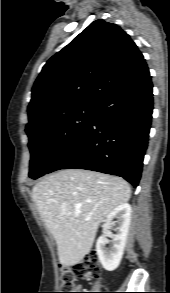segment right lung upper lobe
Wrapping results in <instances>:
<instances>
[{"label":"right lung upper lobe","mask_w":170,"mask_h":293,"mask_svg":"<svg viewBox=\"0 0 170 293\" xmlns=\"http://www.w3.org/2000/svg\"><path fill=\"white\" fill-rule=\"evenodd\" d=\"M147 71L129 35L96 20L44 65L32 89L26 129L79 105H99Z\"/></svg>","instance_id":"right-lung-upper-lobe-1"}]
</instances>
